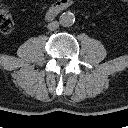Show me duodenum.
Returning a JSON list of instances; mask_svg holds the SVG:
<instances>
[{
	"label": "duodenum",
	"instance_id": "410a0bca",
	"mask_svg": "<svg viewBox=\"0 0 128 128\" xmlns=\"http://www.w3.org/2000/svg\"><path fill=\"white\" fill-rule=\"evenodd\" d=\"M74 0H57L46 12V18L48 20H52L55 18L60 12L72 6Z\"/></svg>",
	"mask_w": 128,
	"mask_h": 128
}]
</instances>
